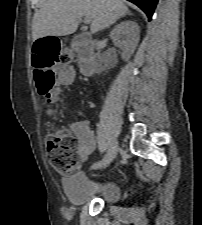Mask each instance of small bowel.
I'll use <instances>...</instances> for the list:
<instances>
[{
  "mask_svg": "<svg viewBox=\"0 0 202 225\" xmlns=\"http://www.w3.org/2000/svg\"><path fill=\"white\" fill-rule=\"evenodd\" d=\"M59 71L63 74L65 85L70 86L74 77L73 66L65 65ZM70 130L78 142L79 160L86 162L96 146V140L89 122L87 120L76 121L70 125Z\"/></svg>",
  "mask_w": 202,
  "mask_h": 225,
  "instance_id": "obj_1",
  "label": "small bowel"
}]
</instances>
